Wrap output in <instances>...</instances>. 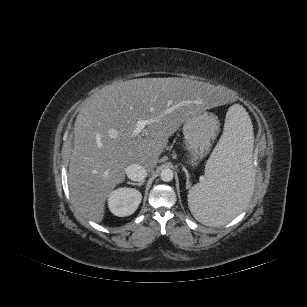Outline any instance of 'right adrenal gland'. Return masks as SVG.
Here are the masks:
<instances>
[{"mask_svg":"<svg viewBox=\"0 0 307 307\" xmlns=\"http://www.w3.org/2000/svg\"><path fill=\"white\" fill-rule=\"evenodd\" d=\"M144 183V181H141V182H139V183H135V182H128V184H130V185H136V186H141L142 184Z\"/></svg>","mask_w":307,"mask_h":307,"instance_id":"right-adrenal-gland-1","label":"right adrenal gland"}]
</instances>
